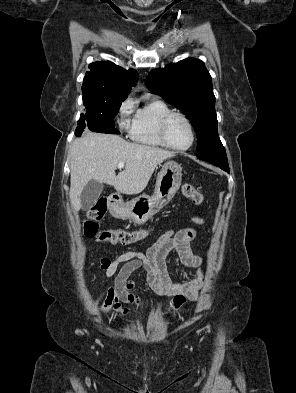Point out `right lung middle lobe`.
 <instances>
[{
  "instance_id": "obj_1",
  "label": "right lung middle lobe",
  "mask_w": 296,
  "mask_h": 393,
  "mask_svg": "<svg viewBox=\"0 0 296 393\" xmlns=\"http://www.w3.org/2000/svg\"><path fill=\"white\" fill-rule=\"evenodd\" d=\"M124 100V98L84 100L86 113L81 114L78 125L94 124L106 128H114V118Z\"/></svg>"
}]
</instances>
